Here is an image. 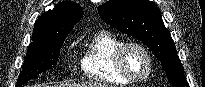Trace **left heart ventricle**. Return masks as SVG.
Returning <instances> with one entry per match:
<instances>
[{"mask_svg":"<svg viewBox=\"0 0 205 87\" xmlns=\"http://www.w3.org/2000/svg\"><path fill=\"white\" fill-rule=\"evenodd\" d=\"M123 63L126 70L136 77L144 76L149 69L146 55L135 47H130L125 51Z\"/></svg>","mask_w":205,"mask_h":87,"instance_id":"left-heart-ventricle-1","label":"left heart ventricle"}]
</instances>
